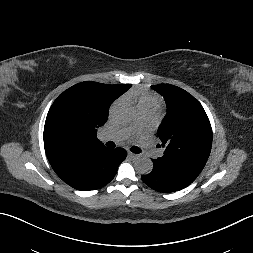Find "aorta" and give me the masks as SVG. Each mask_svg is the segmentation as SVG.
<instances>
[{
	"instance_id": "1",
	"label": "aorta",
	"mask_w": 253,
	"mask_h": 253,
	"mask_svg": "<svg viewBox=\"0 0 253 253\" xmlns=\"http://www.w3.org/2000/svg\"><path fill=\"white\" fill-rule=\"evenodd\" d=\"M135 113V107L128 102H124L116 106L114 118L119 123H127L133 119ZM135 169L140 174H149L153 169V162L147 157H140L135 162Z\"/></svg>"
}]
</instances>
